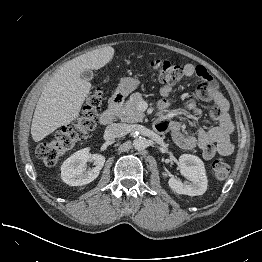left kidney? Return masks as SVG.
Wrapping results in <instances>:
<instances>
[{"instance_id": "5707ae66", "label": "left kidney", "mask_w": 262, "mask_h": 262, "mask_svg": "<svg viewBox=\"0 0 262 262\" xmlns=\"http://www.w3.org/2000/svg\"><path fill=\"white\" fill-rule=\"evenodd\" d=\"M180 173L189 181L182 182L179 178L169 175L168 184L177 194L189 196L202 195L207 190V176L203 161L194 155L183 154L179 158ZM164 177L168 175L163 173Z\"/></svg>"}]
</instances>
